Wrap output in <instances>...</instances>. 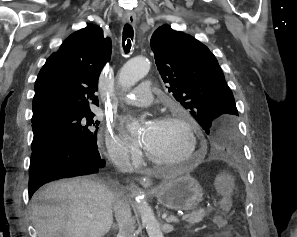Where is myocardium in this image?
Returning <instances> with one entry per match:
<instances>
[{"label": "myocardium", "mask_w": 297, "mask_h": 237, "mask_svg": "<svg viewBox=\"0 0 297 237\" xmlns=\"http://www.w3.org/2000/svg\"><path fill=\"white\" fill-rule=\"evenodd\" d=\"M159 121L164 123H173V124L180 125L185 130L188 136L189 149H188V152L183 157L178 159H173V160L159 159L155 157L150 151L145 149V155L147 159L152 164H155L158 166L178 165L191 160L198 151V138H197L196 130L192 121L185 114H182V113L165 115L161 117Z\"/></svg>", "instance_id": "obj_1"}]
</instances>
